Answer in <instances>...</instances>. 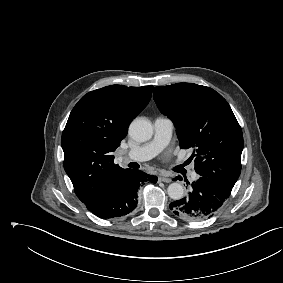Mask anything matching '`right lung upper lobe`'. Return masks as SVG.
Listing matches in <instances>:
<instances>
[{"mask_svg": "<svg viewBox=\"0 0 283 283\" xmlns=\"http://www.w3.org/2000/svg\"><path fill=\"white\" fill-rule=\"evenodd\" d=\"M153 86L111 85L84 95L62 133L64 169L87 204L115 185L129 169L114 164L113 152L130 121L148 104Z\"/></svg>", "mask_w": 283, "mask_h": 283, "instance_id": "obj_1", "label": "right lung upper lobe"}]
</instances>
